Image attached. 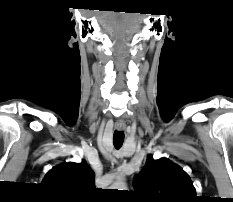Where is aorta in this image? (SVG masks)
<instances>
[{
	"mask_svg": "<svg viewBox=\"0 0 233 202\" xmlns=\"http://www.w3.org/2000/svg\"><path fill=\"white\" fill-rule=\"evenodd\" d=\"M126 187L125 181L123 179L117 180L113 185L111 189H118V190H125Z\"/></svg>",
	"mask_w": 233,
	"mask_h": 202,
	"instance_id": "1",
	"label": "aorta"
}]
</instances>
